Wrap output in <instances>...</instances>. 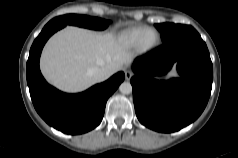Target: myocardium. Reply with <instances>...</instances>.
Listing matches in <instances>:
<instances>
[{
    "label": "myocardium",
    "mask_w": 238,
    "mask_h": 158,
    "mask_svg": "<svg viewBox=\"0 0 238 158\" xmlns=\"http://www.w3.org/2000/svg\"><path fill=\"white\" fill-rule=\"evenodd\" d=\"M149 32H154L156 34V39L153 43L151 44H147L145 42V38H146V35L149 33ZM159 41H160V37H159V33L153 29V28H147L140 36L139 40H138V48L140 50H143V51H149V50H152L153 48H155L158 44H159Z\"/></svg>",
    "instance_id": "f54148a6"
}]
</instances>
